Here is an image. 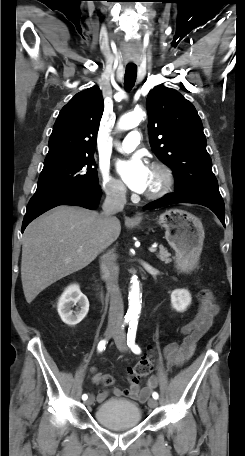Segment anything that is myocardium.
I'll list each match as a JSON object with an SVG mask.
<instances>
[{
    "instance_id": "f54148a6",
    "label": "myocardium",
    "mask_w": 245,
    "mask_h": 456,
    "mask_svg": "<svg viewBox=\"0 0 245 456\" xmlns=\"http://www.w3.org/2000/svg\"><path fill=\"white\" fill-rule=\"evenodd\" d=\"M150 169L156 170L162 177V182L158 188L144 193L147 199L155 200L165 196L172 189L175 179L172 169L163 162H152Z\"/></svg>"
}]
</instances>
